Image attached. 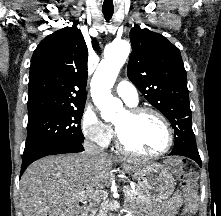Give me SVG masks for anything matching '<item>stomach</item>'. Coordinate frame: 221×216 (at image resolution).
<instances>
[{
    "label": "stomach",
    "instance_id": "0dacf381",
    "mask_svg": "<svg viewBox=\"0 0 221 216\" xmlns=\"http://www.w3.org/2000/svg\"><path fill=\"white\" fill-rule=\"evenodd\" d=\"M124 170L137 180L142 193L150 202H161L168 199L175 189L172 174L158 163L125 165Z\"/></svg>",
    "mask_w": 221,
    "mask_h": 216
}]
</instances>
